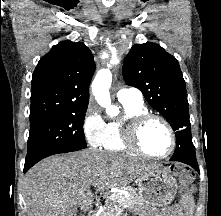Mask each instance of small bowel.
Listing matches in <instances>:
<instances>
[{
	"mask_svg": "<svg viewBox=\"0 0 221 216\" xmlns=\"http://www.w3.org/2000/svg\"><path fill=\"white\" fill-rule=\"evenodd\" d=\"M193 211L192 199L187 201L183 196L179 204L163 209L160 216H193Z\"/></svg>",
	"mask_w": 221,
	"mask_h": 216,
	"instance_id": "c3829d8e",
	"label": "small bowel"
}]
</instances>
